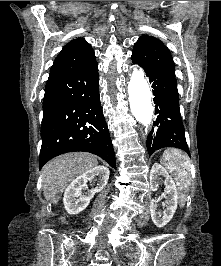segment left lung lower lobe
Listing matches in <instances>:
<instances>
[{
	"mask_svg": "<svg viewBox=\"0 0 221 266\" xmlns=\"http://www.w3.org/2000/svg\"><path fill=\"white\" fill-rule=\"evenodd\" d=\"M132 62H135L132 59ZM152 84L157 118L146 141L149 156L155 150L175 147L190 154L180 114L179 94L175 76L145 71Z\"/></svg>",
	"mask_w": 221,
	"mask_h": 266,
	"instance_id": "obj_1",
	"label": "left lung lower lobe"
}]
</instances>
